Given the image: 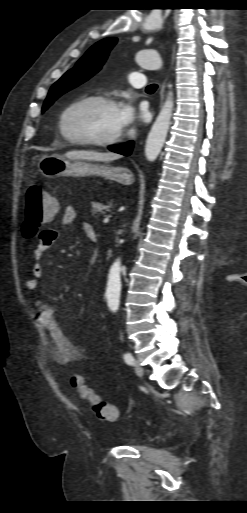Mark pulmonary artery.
I'll list each match as a JSON object with an SVG mask.
<instances>
[{"instance_id":"1","label":"pulmonary artery","mask_w":247,"mask_h":513,"mask_svg":"<svg viewBox=\"0 0 247 513\" xmlns=\"http://www.w3.org/2000/svg\"><path fill=\"white\" fill-rule=\"evenodd\" d=\"M129 82L136 88H142L146 85L145 76L138 71L129 74Z\"/></svg>"}]
</instances>
